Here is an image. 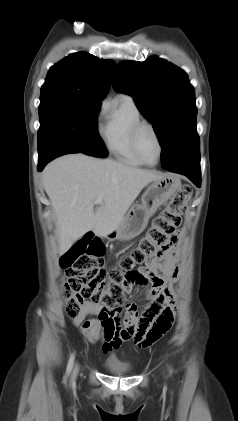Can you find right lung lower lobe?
Listing matches in <instances>:
<instances>
[{
	"instance_id": "right-lung-lower-lobe-1",
	"label": "right lung lower lobe",
	"mask_w": 238,
	"mask_h": 421,
	"mask_svg": "<svg viewBox=\"0 0 238 421\" xmlns=\"http://www.w3.org/2000/svg\"><path fill=\"white\" fill-rule=\"evenodd\" d=\"M69 153H80V151L72 145L61 141H53L47 144L41 151H38V171H41L54 158Z\"/></svg>"
}]
</instances>
